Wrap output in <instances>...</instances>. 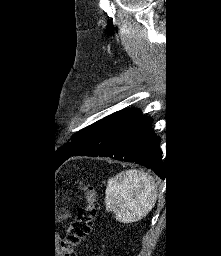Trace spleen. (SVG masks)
Returning a JSON list of instances; mask_svg holds the SVG:
<instances>
[{
  "label": "spleen",
  "instance_id": "obj_1",
  "mask_svg": "<svg viewBox=\"0 0 221 256\" xmlns=\"http://www.w3.org/2000/svg\"><path fill=\"white\" fill-rule=\"evenodd\" d=\"M156 199L155 179L146 172L126 170L108 180L106 209L123 223H132L146 216Z\"/></svg>",
  "mask_w": 221,
  "mask_h": 256
}]
</instances>
